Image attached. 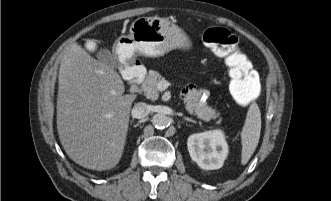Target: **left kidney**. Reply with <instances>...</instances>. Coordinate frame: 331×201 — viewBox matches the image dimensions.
Returning a JSON list of instances; mask_svg holds the SVG:
<instances>
[{
	"mask_svg": "<svg viewBox=\"0 0 331 201\" xmlns=\"http://www.w3.org/2000/svg\"><path fill=\"white\" fill-rule=\"evenodd\" d=\"M187 147L192 160L205 170L221 168L228 155V144L221 130L193 134L187 140Z\"/></svg>",
	"mask_w": 331,
	"mask_h": 201,
	"instance_id": "obj_1",
	"label": "left kidney"
}]
</instances>
